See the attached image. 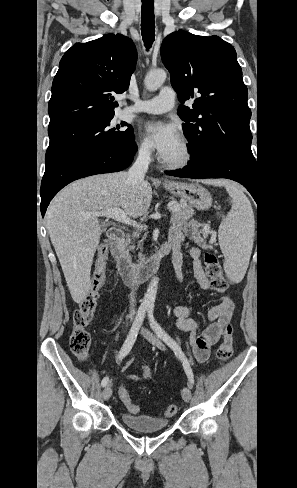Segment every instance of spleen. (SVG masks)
Listing matches in <instances>:
<instances>
[{
  "label": "spleen",
  "mask_w": 297,
  "mask_h": 488,
  "mask_svg": "<svg viewBox=\"0 0 297 488\" xmlns=\"http://www.w3.org/2000/svg\"><path fill=\"white\" fill-rule=\"evenodd\" d=\"M232 207L219 226L218 238L228 278L239 283L248 268L253 248L255 221L251 204L241 188L227 184Z\"/></svg>",
  "instance_id": "1"
}]
</instances>
